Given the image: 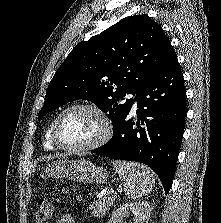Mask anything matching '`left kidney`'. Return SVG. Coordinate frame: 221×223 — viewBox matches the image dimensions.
Returning <instances> with one entry per match:
<instances>
[{
  "label": "left kidney",
  "instance_id": "1",
  "mask_svg": "<svg viewBox=\"0 0 221 223\" xmlns=\"http://www.w3.org/2000/svg\"><path fill=\"white\" fill-rule=\"evenodd\" d=\"M151 206L148 202L127 203L118 208L112 215L109 223H123V217L134 214V223H148Z\"/></svg>",
  "mask_w": 221,
  "mask_h": 223
}]
</instances>
